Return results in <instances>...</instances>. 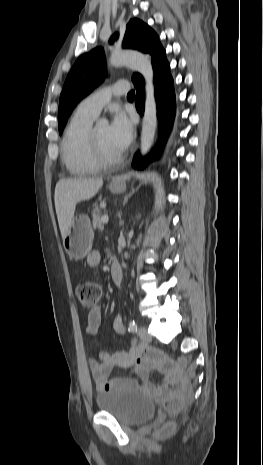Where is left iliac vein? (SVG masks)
<instances>
[{"instance_id":"1","label":"left iliac vein","mask_w":263,"mask_h":465,"mask_svg":"<svg viewBox=\"0 0 263 465\" xmlns=\"http://www.w3.org/2000/svg\"><path fill=\"white\" fill-rule=\"evenodd\" d=\"M138 334L141 340L144 342H150L152 337L150 333L148 332L147 328L145 326H140L138 329Z\"/></svg>"}]
</instances>
